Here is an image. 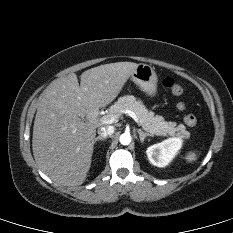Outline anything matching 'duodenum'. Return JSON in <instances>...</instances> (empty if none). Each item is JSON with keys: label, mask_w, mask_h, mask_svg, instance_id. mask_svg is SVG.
<instances>
[{"label": "duodenum", "mask_w": 233, "mask_h": 233, "mask_svg": "<svg viewBox=\"0 0 233 233\" xmlns=\"http://www.w3.org/2000/svg\"><path fill=\"white\" fill-rule=\"evenodd\" d=\"M95 116L93 114H91V118L93 119Z\"/></svg>", "instance_id": "1"}]
</instances>
